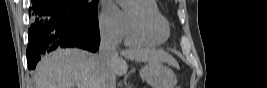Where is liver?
Wrapping results in <instances>:
<instances>
[{
    "instance_id": "1",
    "label": "liver",
    "mask_w": 267,
    "mask_h": 88,
    "mask_svg": "<svg viewBox=\"0 0 267 88\" xmlns=\"http://www.w3.org/2000/svg\"><path fill=\"white\" fill-rule=\"evenodd\" d=\"M123 57L137 62L176 65L175 59L163 51L130 48L113 61L115 76L127 73L128 65ZM34 78L35 88H98L99 59L97 55L81 49H58L40 60Z\"/></svg>"
}]
</instances>
